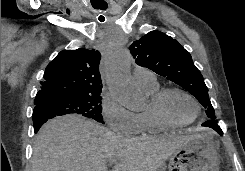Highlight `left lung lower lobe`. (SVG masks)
<instances>
[{
    "label": "left lung lower lobe",
    "instance_id": "0a47b994",
    "mask_svg": "<svg viewBox=\"0 0 245 171\" xmlns=\"http://www.w3.org/2000/svg\"><path fill=\"white\" fill-rule=\"evenodd\" d=\"M202 126L212 128V129L215 130L217 133L223 134V131L221 130V128L218 126V124H217L216 122L206 121V122H204V123L202 124Z\"/></svg>",
    "mask_w": 245,
    "mask_h": 171
}]
</instances>
